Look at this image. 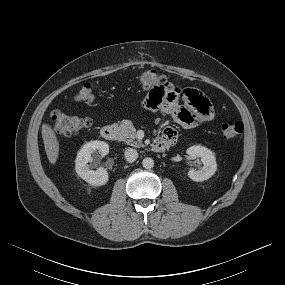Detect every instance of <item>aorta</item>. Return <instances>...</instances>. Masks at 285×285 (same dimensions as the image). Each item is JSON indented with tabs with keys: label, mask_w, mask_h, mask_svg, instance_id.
I'll return each instance as SVG.
<instances>
[{
	"label": "aorta",
	"mask_w": 285,
	"mask_h": 285,
	"mask_svg": "<svg viewBox=\"0 0 285 285\" xmlns=\"http://www.w3.org/2000/svg\"><path fill=\"white\" fill-rule=\"evenodd\" d=\"M142 165L145 169H151L154 166V160L150 157H146L143 159Z\"/></svg>",
	"instance_id": "aorta-1"
}]
</instances>
